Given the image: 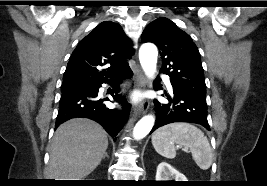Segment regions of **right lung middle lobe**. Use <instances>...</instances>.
Masks as SVG:
<instances>
[{"label":"right lung middle lobe","instance_id":"dd1d6c3e","mask_svg":"<svg viewBox=\"0 0 267 186\" xmlns=\"http://www.w3.org/2000/svg\"><path fill=\"white\" fill-rule=\"evenodd\" d=\"M65 87H67V86H61V89L65 88Z\"/></svg>","mask_w":267,"mask_h":186}]
</instances>
